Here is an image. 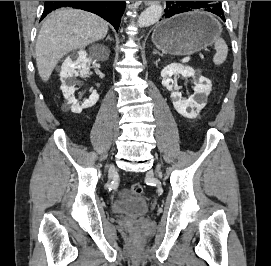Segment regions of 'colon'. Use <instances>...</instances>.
Returning <instances> with one entry per match:
<instances>
[{"label": "colon", "instance_id": "obj_1", "mask_svg": "<svg viewBox=\"0 0 271 266\" xmlns=\"http://www.w3.org/2000/svg\"><path fill=\"white\" fill-rule=\"evenodd\" d=\"M131 191L135 195H142L143 194V186L140 183H133L131 185Z\"/></svg>", "mask_w": 271, "mask_h": 266}]
</instances>
